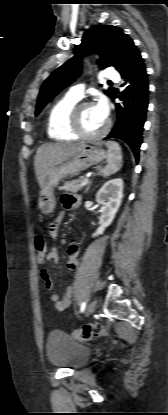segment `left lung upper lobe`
<instances>
[{
    "instance_id": "1",
    "label": "left lung upper lobe",
    "mask_w": 168,
    "mask_h": 415,
    "mask_svg": "<svg viewBox=\"0 0 168 415\" xmlns=\"http://www.w3.org/2000/svg\"><path fill=\"white\" fill-rule=\"evenodd\" d=\"M89 53L101 55L98 64L101 67L114 66L121 73L139 53L133 40L116 26H96L86 31L81 44L75 48V55L56 69L43 83L38 96L36 115L42 108L66 86L80 75L81 59ZM115 89L104 93L111 98Z\"/></svg>"
}]
</instances>
